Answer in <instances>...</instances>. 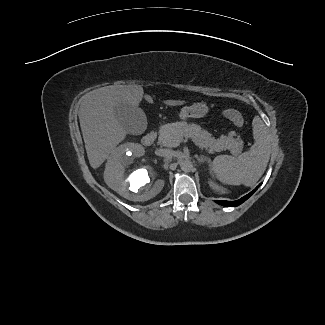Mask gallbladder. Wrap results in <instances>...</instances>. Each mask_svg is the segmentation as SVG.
<instances>
[{
  "label": "gallbladder",
  "instance_id": "obj_1",
  "mask_svg": "<svg viewBox=\"0 0 325 325\" xmlns=\"http://www.w3.org/2000/svg\"><path fill=\"white\" fill-rule=\"evenodd\" d=\"M115 116L126 132L139 135L147 127V118L144 111L127 103L115 107Z\"/></svg>",
  "mask_w": 325,
  "mask_h": 325
}]
</instances>
